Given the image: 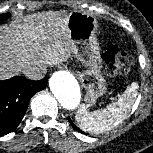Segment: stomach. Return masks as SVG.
<instances>
[{
	"instance_id": "obj_1",
	"label": "stomach",
	"mask_w": 153,
	"mask_h": 153,
	"mask_svg": "<svg viewBox=\"0 0 153 153\" xmlns=\"http://www.w3.org/2000/svg\"><path fill=\"white\" fill-rule=\"evenodd\" d=\"M71 51L86 69L79 73V80L86 90L87 103L94 104L107 92V83L102 75V59L96 37L97 19L86 13L73 11L67 18Z\"/></svg>"
}]
</instances>
